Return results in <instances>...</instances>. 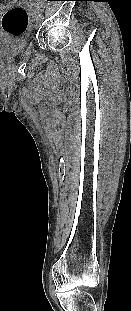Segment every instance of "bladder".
Here are the masks:
<instances>
[{
	"mask_svg": "<svg viewBox=\"0 0 131 311\" xmlns=\"http://www.w3.org/2000/svg\"><path fill=\"white\" fill-rule=\"evenodd\" d=\"M27 47L25 40L0 37V61L10 60L20 55Z\"/></svg>",
	"mask_w": 131,
	"mask_h": 311,
	"instance_id": "31cf9c89",
	"label": "bladder"
}]
</instances>
